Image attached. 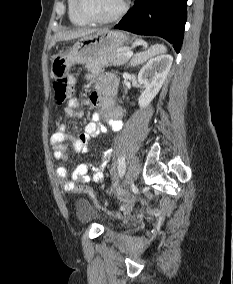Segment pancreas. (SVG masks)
<instances>
[{"label": "pancreas", "instance_id": "cf45deb5", "mask_svg": "<svg viewBox=\"0 0 233 284\" xmlns=\"http://www.w3.org/2000/svg\"><path fill=\"white\" fill-rule=\"evenodd\" d=\"M126 51H114L109 54L99 57L92 63L86 64L88 71L93 73H100L104 70V67L108 66H120L128 63L129 59L125 57ZM134 59L131 61V64Z\"/></svg>", "mask_w": 233, "mask_h": 284}]
</instances>
